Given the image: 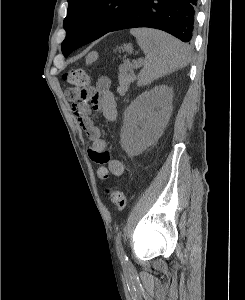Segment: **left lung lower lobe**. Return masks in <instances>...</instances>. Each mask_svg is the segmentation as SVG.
<instances>
[{
	"label": "left lung lower lobe",
	"mask_w": 245,
	"mask_h": 300,
	"mask_svg": "<svg viewBox=\"0 0 245 300\" xmlns=\"http://www.w3.org/2000/svg\"><path fill=\"white\" fill-rule=\"evenodd\" d=\"M197 1L136 0L107 33L128 28L149 27L168 32L183 42L191 44ZM100 37H93L87 43Z\"/></svg>",
	"instance_id": "1"
}]
</instances>
